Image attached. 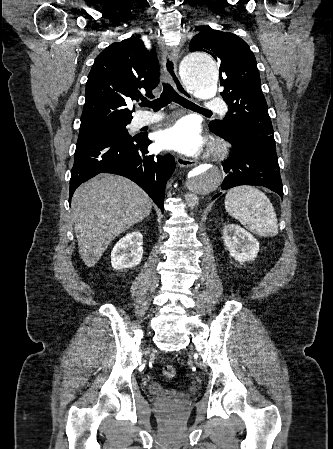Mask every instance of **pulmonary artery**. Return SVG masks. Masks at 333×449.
Masks as SVG:
<instances>
[{
	"instance_id": "1",
	"label": "pulmonary artery",
	"mask_w": 333,
	"mask_h": 449,
	"mask_svg": "<svg viewBox=\"0 0 333 449\" xmlns=\"http://www.w3.org/2000/svg\"><path fill=\"white\" fill-rule=\"evenodd\" d=\"M203 106L207 109H224V102L220 98H211L204 102ZM161 119V116L158 114H151L148 112L142 113L135 120L136 126L142 127L153 122H156Z\"/></svg>"
}]
</instances>
